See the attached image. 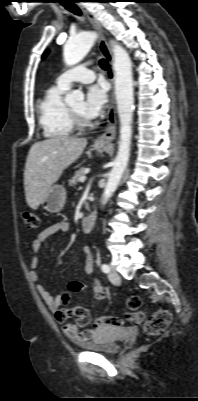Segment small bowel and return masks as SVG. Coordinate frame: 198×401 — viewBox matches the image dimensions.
I'll return each mask as SVG.
<instances>
[{
	"instance_id": "obj_1",
	"label": "small bowel",
	"mask_w": 198,
	"mask_h": 401,
	"mask_svg": "<svg viewBox=\"0 0 198 401\" xmlns=\"http://www.w3.org/2000/svg\"><path fill=\"white\" fill-rule=\"evenodd\" d=\"M69 227L70 226L67 221L64 220L58 221L46 227L38 234L37 238L34 240L32 244V249L34 254L30 262V276L33 279V281L37 283V290L41 295L42 299L44 300V302L46 303L49 310L53 313L54 319L56 320V322L62 325V330L65 336L74 342L83 344L87 341L95 339L99 335V332L105 326H102L98 324L96 321H94L91 327L85 330H81L84 326L90 323V320L86 325H81L79 323L78 315H75V322L73 323L68 322L69 312L60 309L61 297L54 296L41 283H39V275L36 271V268L38 266L37 252L41 248L47 246L48 240L51 236L57 233H66L69 230ZM82 252L85 257L84 271L85 273L90 274L92 272V267H93L92 250L89 246H84L82 248ZM74 283L77 285V290L75 292H78L85 287L84 284L79 281H74ZM93 293H94V299L97 301H102L106 297L102 283L100 282V280L96 278L93 279Z\"/></svg>"
}]
</instances>
